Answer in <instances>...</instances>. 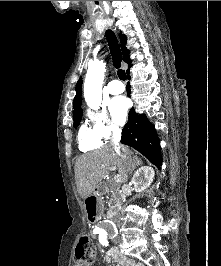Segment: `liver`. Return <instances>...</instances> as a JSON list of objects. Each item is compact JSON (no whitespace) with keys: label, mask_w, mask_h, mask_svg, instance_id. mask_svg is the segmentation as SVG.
<instances>
[{"label":"liver","mask_w":221,"mask_h":266,"mask_svg":"<svg viewBox=\"0 0 221 266\" xmlns=\"http://www.w3.org/2000/svg\"><path fill=\"white\" fill-rule=\"evenodd\" d=\"M128 157L134 169L141 160L133 156V152L126 149ZM116 167L121 177L120 183L128 181V163L125 162L112 147H104L99 150L81 155L75 163V181L79 195L87 199L89 189H95L97 184L109 175V168Z\"/></svg>","instance_id":"1"}]
</instances>
